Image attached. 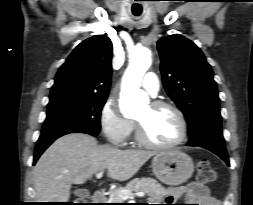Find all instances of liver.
I'll list each match as a JSON object with an SVG mask.
<instances>
[{"mask_svg":"<svg viewBox=\"0 0 253 205\" xmlns=\"http://www.w3.org/2000/svg\"><path fill=\"white\" fill-rule=\"evenodd\" d=\"M156 153L146 150H120L98 145L87 134L73 133L57 139L33 168V183L40 202H68L72 184H83L107 169L113 180L125 181Z\"/></svg>","mask_w":253,"mask_h":205,"instance_id":"6515ba94","label":"liver"}]
</instances>
